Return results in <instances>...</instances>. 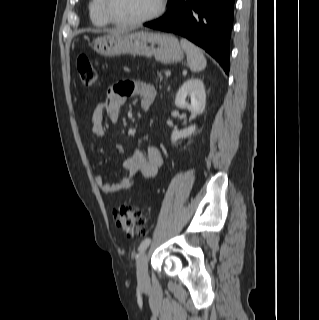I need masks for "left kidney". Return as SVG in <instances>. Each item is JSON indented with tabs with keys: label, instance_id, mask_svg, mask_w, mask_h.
Masks as SVG:
<instances>
[{
	"label": "left kidney",
	"instance_id": "obj_1",
	"mask_svg": "<svg viewBox=\"0 0 319 320\" xmlns=\"http://www.w3.org/2000/svg\"><path fill=\"white\" fill-rule=\"evenodd\" d=\"M187 97H190V104L186 102ZM175 105L179 108L188 109L193 116L200 115L206 106V93L203 81L197 78L185 81L176 94ZM195 130V125H191L181 131L174 129L171 135L172 143L191 136Z\"/></svg>",
	"mask_w": 319,
	"mask_h": 320
}]
</instances>
